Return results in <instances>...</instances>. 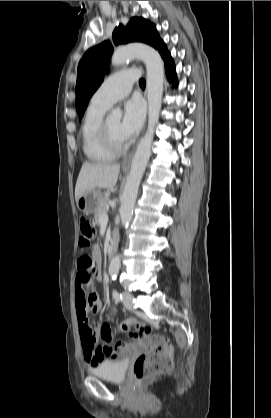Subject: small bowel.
Returning <instances> with one entry per match:
<instances>
[{
  "label": "small bowel",
  "instance_id": "c3829d8e",
  "mask_svg": "<svg viewBox=\"0 0 271 418\" xmlns=\"http://www.w3.org/2000/svg\"><path fill=\"white\" fill-rule=\"evenodd\" d=\"M87 253L91 256L76 257L75 309L84 359L89 365L95 367L104 361L118 358L129 351L130 346L123 341L113 344L111 330L107 323L100 322L94 327L87 323L88 312L97 313L102 307L97 292L91 289V282L102 279L101 253L99 248L93 247H88ZM109 312L113 315L114 309L110 308ZM86 330H90V333H86ZM126 331L131 337L132 332L129 329ZM99 339L102 340L101 344H99Z\"/></svg>",
  "mask_w": 271,
  "mask_h": 418
}]
</instances>
